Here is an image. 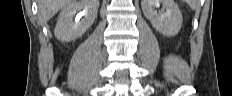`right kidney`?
Masks as SVG:
<instances>
[{"mask_svg":"<svg viewBox=\"0 0 232 96\" xmlns=\"http://www.w3.org/2000/svg\"><path fill=\"white\" fill-rule=\"evenodd\" d=\"M98 8L99 0H72L58 17L54 31L56 38L68 42L81 37L94 23ZM82 16L84 18L80 20Z\"/></svg>","mask_w":232,"mask_h":96,"instance_id":"ca27d5eb","label":"right kidney"}]
</instances>
